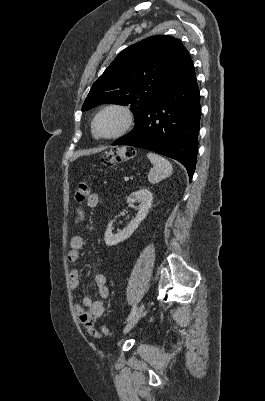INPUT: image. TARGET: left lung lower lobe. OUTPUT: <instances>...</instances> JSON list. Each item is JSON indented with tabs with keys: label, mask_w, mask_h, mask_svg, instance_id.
Masks as SVG:
<instances>
[{
	"label": "left lung lower lobe",
	"mask_w": 265,
	"mask_h": 401,
	"mask_svg": "<svg viewBox=\"0 0 265 401\" xmlns=\"http://www.w3.org/2000/svg\"><path fill=\"white\" fill-rule=\"evenodd\" d=\"M200 94L192 60L136 120L134 129L112 145L155 151L182 163L191 181L195 171Z\"/></svg>",
	"instance_id": "0a47b994"
}]
</instances>
